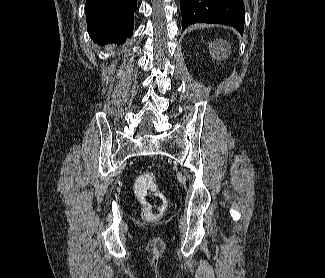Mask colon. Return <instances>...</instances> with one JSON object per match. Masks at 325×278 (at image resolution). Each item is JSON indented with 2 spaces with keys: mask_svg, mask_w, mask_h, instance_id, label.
I'll use <instances>...</instances> for the list:
<instances>
[{
  "mask_svg": "<svg viewBox=\"0 0 325 278\" xmlns=\"http://www.w3.org/2000/svg\"><path fill=\"white\" fill-rule=\"evenodd\" d=\"M134 189L144 205V219L150 222L160 219L166 208V198L159 190L154 175L151 173L139 175L134 182Z\"/></svg>",
  "mask_w": 325,
  "mask_h": 278,
  "instance_id": "5ec220e1",
  "label": "colon"
}]
</instances>
